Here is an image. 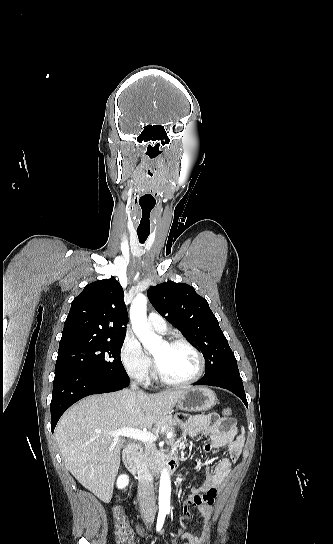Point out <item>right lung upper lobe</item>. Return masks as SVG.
Masks as SVG:
<instances>
[{
  "instance_id": "1",
  "label": "right lung upper lobe",
  "mask_w": 333,
  "mask_h": 544,
  "mask_svg": "<svg viewBox=\"0 0 333 544\" xmlns=\"http://www.w3.org/2000/svg\"><path fill=\"white\" fill-rule=\"evenodd\" d=\"M122 286L114 278L85 286L74 298L59 348L125 337L127 311Z\"/></svg>"
}]
</instances>
